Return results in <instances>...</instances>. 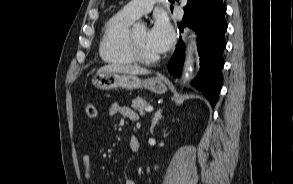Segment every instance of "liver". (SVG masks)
I'll list each match as a JSON object with an SVG mask.
<instances>
[{
  "label": "liver",
  "instance_id": "6515ba94",
  "mask_svg": "<svg viewBox=\"0 0 293 184\" xmlns=\"http://www.w3.org/2000/svg\"><path fill=\"white\" fill-rule=\"evenodd\" d=\"M98 72H116L132 75H148L150 71L137 65H121V64H108L101 67Z\"/></svg>",
  "mask_w": 293,
  "mask_h": 184
}]
</instances>
